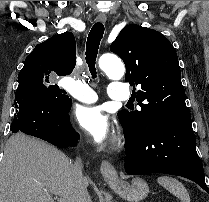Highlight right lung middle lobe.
<instances>
[{
	"label": "right lung middle lobe",
	"instance_id": "right-lung-middle-lobe-1",
	"mask_svg": "<svg viewBox=\"0 0 209 202\" xmlns=\"http://www.w3.org/2000/svg\"><path fill=\"white\" fill-rule=\"evenodd\" d=\"M47 74H24L18 76L20 85L32 84L45 97L53 99L61 107H66L69 97L57 85H53L48 80Z\"/></svg>",
	"mask_w": 209,
	"mask_h": 202
}]
</instances>
